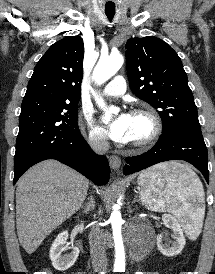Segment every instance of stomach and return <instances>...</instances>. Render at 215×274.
<instances>
[{
  "instance_id": "stomach-1",
  "label": "stomach",
  "mask_w": 215,
  "mask_h": 274,
  "mask_svg": "<svg viewBox=\"0 0 215 274\" xmlns=\"http://www.w3.org/2000/svg\"><path fill=\"white\" fill-rule=\"evenodd\" d=\"M167 164H169V166H172V165L175 164V162H170V163H167Z\"/></svg>"
}]
</instances>
